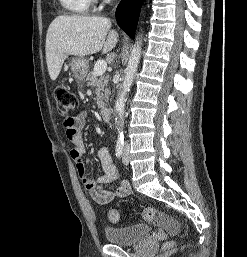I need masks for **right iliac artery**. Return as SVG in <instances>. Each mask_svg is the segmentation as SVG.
I'll use <instances>...</instances> for the list:
<instances>
[{
  "instance_id": "1",
  "label": "right iliac artery",
  "mask_w": 247,
  "mask_h": 257,
  "mask_svg": "<svg viewBox=\"0 0 247 257\" xmlns=\"http://www.w3.org/2000/svg\"><path fill=\"white\" fill-rule=\"evenodd\" d=\"M123 147H124V140L119 139L116 145L115 154L118 158L122 156L123 153Z\"/></svg>"
}]
</instances>
